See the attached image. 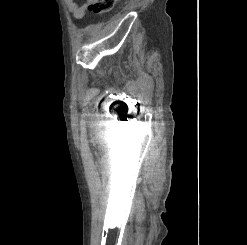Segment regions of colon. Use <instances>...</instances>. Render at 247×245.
I'll return each instance as SVG.
<instances>
[{"label":"colon","mask_w":247,"mask_h":245,"mask_svg":"<svg viewBox=\"0 0 247 245\" xmlns=\"http://www.w3.org/2000/svg\"><path fill=\"white\" fill-rule=\"evenodd\" d=\"M118 0H92L89 10L95 14H105L110 12Z\"/></svg>","instance_id":"1"}]
</instances>
